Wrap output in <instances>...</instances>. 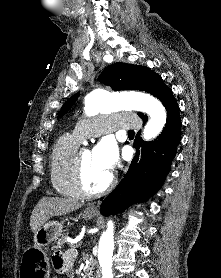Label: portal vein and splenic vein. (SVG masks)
Returning <instances> with one entry per match:
<instances>
[{
    "instance_id": "18ae733b",
    "label": "portal vein and splenic vein",
    "mask_w": 221,
    "mask_h": 278,
    "mask_svg": "<svg viewBox=\"0 0 221 278\" xmlns=\"http://www.w3.org/2000/svg\"><path fill=\"white\" fill-rule=\"evenodd\" d=\"M71 243H72V242H71ZM81 243H82V242H81V241H79V242H78V244L76 243V246H79Z\"/></svg>"
}]
</instances>
